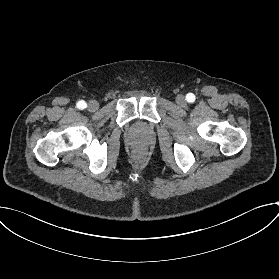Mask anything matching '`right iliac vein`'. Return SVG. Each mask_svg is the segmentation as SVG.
<instances>
[{
	"label": "right iliac vein",
	"mask_w": 279,
	"mask_h": 279,
	"mask_svg": "<svg viewBox=\"0 0 279 279\" xmlns=\"http://www.w3.org/2000/svg\"><path fill=\"white\" fill-rule=\"evenodd\" d=\"M87 108L91 112L96 111L99 108V103L96 100L89 101Z\"/></svg>",
	"instance_id": "right-iliac-vein-1"
}]
</instances>
